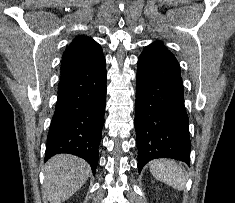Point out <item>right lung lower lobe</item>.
Listing matches in <instances>:
<instances>
[{"label": "right lung lower lobe", "instance_id": "1", "mask_svg": "<svg viewBox=\"0 0 235 203\" xmlns=\"http://www.w3.org/2000/svg\"><path fill=\"white\" fill-rule=\"evenodd\" d=\"M106 79L103 55L61 77L44 162L56 154L69 153L85 159L95 174L104 125Z\"/></svg>", "mask_w": 235, "mask_h": 203}]
</instances>
